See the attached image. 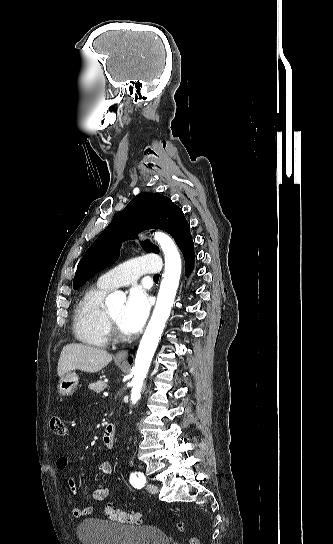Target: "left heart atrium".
I'll return each mask as SVG.
<instances>
[{
  "mask_svg": "<svg viewBox=\"0 0 333 544\" xmlns=\"http://www.w3.org/2000/svg\"><path fill=\"white\" fill-rule=\"evenodd\" d=\"M150 311L148 295L141 288L131 290L120 317V326L127 333H136L144 326Z\"/></svg>",
  "mask_w": 333,
  "mask_h": 544,
  "instance_id": "obj_1",
  "label": "left heart atrium"
}]
</instances>
